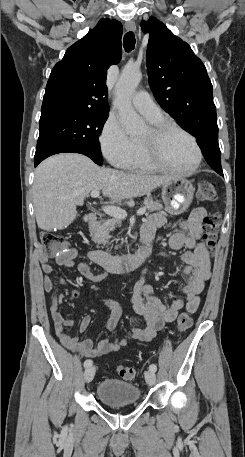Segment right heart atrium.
<instances>
[{
	"mask_svg": "<svg viewBox=\"0 0 245 457\" xmlns=\"http://www.w3.org/2000/svg\"><path fill=\"white\" fill-rule=\"evenodd\" d=\"M99 140L106 158L118 165L130 156L134 148V142L121 121L113 116L105 121Z\"/></svg>",
	"mask_w": 245,
	"mask_h": 457,
	"instance_id": "right-heart-atrium-1",
	"label": "right heart atrium"
}]
</instances>
